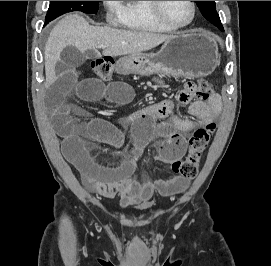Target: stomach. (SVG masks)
Segmentation results:
<instances>
[{"label": "stomach", "instance_id": "obj_1", "mask_svg": "<svg viewBox=\"0 0 271 266\" xmlns=\"http://www.w3.org/2000/svg\"><path fill=\"white\" fill-rule=\"evenodd\" d=\"M218 65L216 40L205 32H186L165 41L157 53L139 52L118 61L119 70L147 75L159 72L172 77L199 78Z\"/></svg>", "mask_w": 271, "mask_h": 266}]
</instances>
